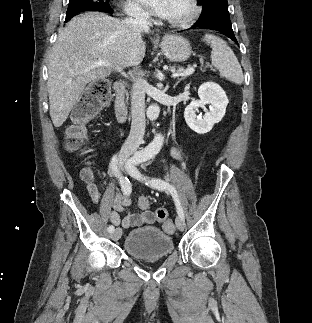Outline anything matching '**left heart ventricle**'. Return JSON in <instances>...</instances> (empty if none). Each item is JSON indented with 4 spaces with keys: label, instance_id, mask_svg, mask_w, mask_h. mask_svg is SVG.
<instances>
[{
    "label": "left heart ventricle",
    "instance_id": "obj_1",
    "mask_svg": "<svg viewBox=\"0 0 312 323\" xmlns=\"http://www.w3.org/2000/svg\"><path fill=\"white\" fill-rule=\"evenodd\" d=\"M168 9H173V14H190V2L188 0H170Z\"/></svg>",
    "mask_w": 312,
    "mask_h": 323
}]
</instances>
